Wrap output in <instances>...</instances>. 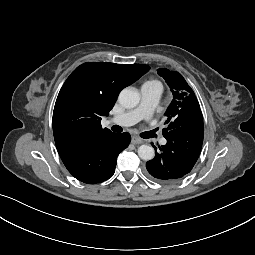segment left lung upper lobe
<instances>
[{"instance_id": "obj_1", "label": "left lung upper lobe", "mask_w": 255, "mask_h": 255, "mask_svg": "<svg viewBox=\"0 0 255 255\" xmlns=\"http://www.w3.org/2000/svg\"><path fill=\"white\" fill-rule=\"evenodd\" d=\"M157 72L165 79L173 94V100L165 112L166 127L162 131L163 136L173 129L203 120L199 102L182 75L165 68H160Z\"/></svg>"}]
</instances>
